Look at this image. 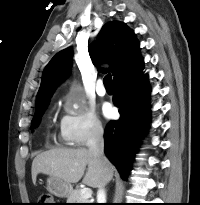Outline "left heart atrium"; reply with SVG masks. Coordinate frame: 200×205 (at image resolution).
Listing matches in <instances>:
<instances>
[{"label": "left heart atrium", "instance_id": "obj_1", "mask_svg": "<svg viewBox=\"0 0 200 205\" xmlns=\"http://www.w3.org/2000/svg\"><path fill=\"white\" fill-rule=\"evenodd\" d=\"M113 113H114L113 108L110 105H105L103 107V114L105 117L110 118L113 116Z\"/></svg>", "mask_w": 200, "mask_h": 205}]
</instances>
